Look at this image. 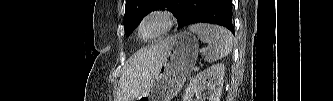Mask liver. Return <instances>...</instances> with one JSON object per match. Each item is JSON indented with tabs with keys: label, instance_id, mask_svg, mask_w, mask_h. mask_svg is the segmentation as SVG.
I'll return each mask as SVG.
<instances>
[{
	"label": "liver",
	"instance_id": "obj_1",
	"mask_svg": "<svg viewBox=\"0 0 333 101\" xmlns=\"http://www.w3.org/2000/svg\"><path fill=\"white\" fill-rule=\"evenodd\" d=\"M165 41L137 51L130 59L119 80L118 101H133L157 76L166 57Z\"/></svg>",
	"mask_w": 333,
	"mask_h": 101
}]
</instances>
